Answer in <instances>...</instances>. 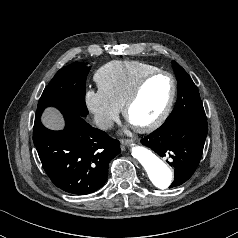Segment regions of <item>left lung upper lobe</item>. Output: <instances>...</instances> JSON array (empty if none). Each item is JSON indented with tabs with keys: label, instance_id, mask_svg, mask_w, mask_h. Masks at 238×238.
Listing matches in <instances>:
<instances>
[{
	"label": "left lung upper lobe",
	"instance_id": "1",
	"mask_svg": "<svg viewBox=\"0 0 238 238\" xmlns=\"http://www.w3.org/2000/svg\"><path fill=\"white\" fill-rule=\"evenodd\" d=\"M173 68L178 81V98L166 121L181 115L205 114L199 92L191 77L175 61H173Z\"/></svg>",
	"mask_w": 238,
	"mask_h": 238
}]
</instances>
